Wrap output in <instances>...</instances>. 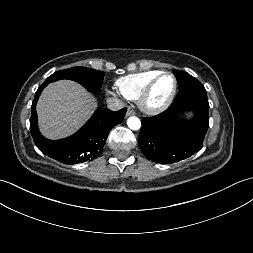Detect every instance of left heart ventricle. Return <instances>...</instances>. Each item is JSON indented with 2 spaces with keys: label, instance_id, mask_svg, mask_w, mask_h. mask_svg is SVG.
Listing matches in <instances>:
<instances>
[{
  "label": "left heart ventricle",
  "instance_id": "1",
  "mask_svg": "<svg viewBox=\"0 0 253 253\" xmlns=\"http://www.w3.org/2000/svg\"><path fill=\"white\" fill-rule=\"evenodd\" d=\"M173 83L171 76L165 75L161 77L153 88L149 103L154 106L163 103L171 93Z\"/></svg>",
  "mask_w": 253,
  "mask_h": 253
}]
</instances>
